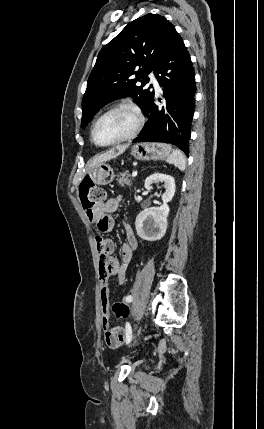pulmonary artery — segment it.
Masks as SVG:
<instances>
[{
  "label": "pulmonary artery",
  "instance_id": "obj_1",
  "mask_svg": "<svg viewBox=\"0 0 264 429\" xmlns=\"http://www.w3.org/2000/svg\"><path fill=\"white\" fill-rule=\"evenodd\" d=\"M149 77H150V83L153 85L154 89L157 92H160L161 88H160L159 83H158L156 77L154 76V74H150Z\"/></svg>",
  "mask_w": 264,
  "mask_h": 429
}]
</instances>
